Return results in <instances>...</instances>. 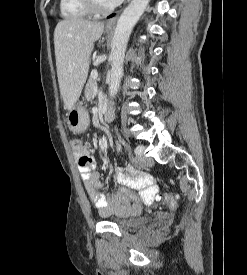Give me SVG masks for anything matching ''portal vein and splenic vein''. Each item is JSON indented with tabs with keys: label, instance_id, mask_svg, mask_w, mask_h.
Listing matches in <instances>:
<instances>
[{
	"label": "portal vein and splenic vein",
	"instance_id": "1",
	"mask_svg": "<svg viewBox=\"0 0 247 275\" xmlns=\"http://www.w3.org/2000/svg\"><path fill=\"white\" fill-rule=\"evenodd\" d=\"M91 75L96 79L98 77V71L97 70L92 71Z\"/></svg>",
	"mask_w": 247,
	"mask_h": 275
}]
</instances>
